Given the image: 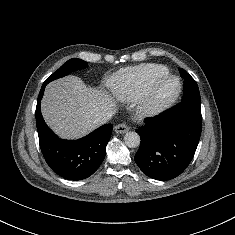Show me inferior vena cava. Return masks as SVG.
<instances>
[{
  "label": "inferior vena cava",
  "instance_id": "inferior-vena-cava-1",
  "mask_svg": "<svg viewBox=\"0 0 235 235\" xmlns=\"http://www.w3.org/2000/svg\"><path fill=\"white\" fill-rule=\"evenodd\" d=\"M113 115V112L112 111H104L101 113V115L96 119V124L98 125H102L104 123H106L108 120L111 119Z\"/></svg>",
  "mask_w": 235,
  "mask_h": 235
}]
</instances>
